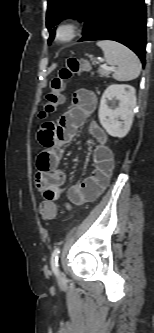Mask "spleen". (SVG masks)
<instances>
[{"instance_id":"1","label":"spleen","mask_w":154,"mask_h":333,"mask_svg":"<svg viewBox=\"0 0 154 333\" xmlns=\"http://www.w3.org/2000/svg\"><path fill=\"white\" fill-rule=\"evenodd\" d=\"M109 65L116 66L113 78L117 81L136 79L141 72L139 58L130 49L115 41L102 40L97 42Z\"/></svg>"}]
</instances>
